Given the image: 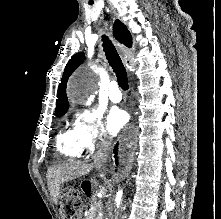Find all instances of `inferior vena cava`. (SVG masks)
<instances>
[{"label": "inferior vena cava", "instance_id": "1", "mask_svg": "<svg viewBox=\"0 0 221 219\" xmlns=\"http://www.w3.org/2000/svg\"><path fill=\"white\" fill-rule=\"evenodd\" d=\"M111 148V143L109 141H104L99 145L93 162V165L99 170L103 168Z\"/></svg>", "mask_w": 221, "mask_h": 219}]
</instances>
